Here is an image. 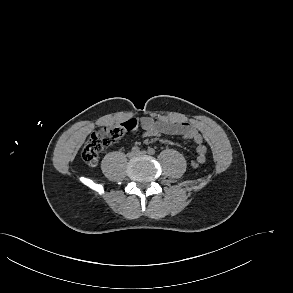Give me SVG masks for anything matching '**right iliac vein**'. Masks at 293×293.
<instances>
[{
	"label": "right iliac vein",
	"instance_id": "right-iliac-vein-1",
	"mask_svg": "<svg viewBox=\"0 0 293 293\" xmlns=\"http://www.w3.org/2000/svg\"><path fill=\"white\" fill-rule=\"evenodd\" d=\"M136 155H137V153L134 152V151H130V152L127 154L128 158H130V159L134 158Z\"/></svg>",
	"mask_w": 293,
	"mask_h": 293
}]
</instances>
